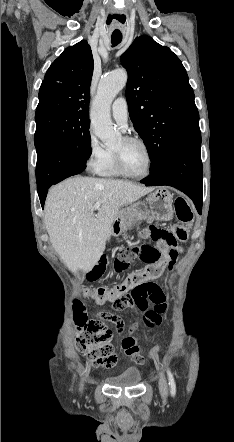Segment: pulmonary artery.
Masks as SVG:
<instances>
[{"instance_id":"1","label":"pulmonary artery","mask_w":234,"mask_h":442,"mask_svg":"<svg viewBox=\"0 0 234 442\" xmlns=\"http://www.w3.org/2000/svg\"><path fill=\"white\" fill-rule=\"evenodd\" d=\"M112 115L122 129L127 128L128 121V105L124 97L117 98L112 103Z\"/></svg>"}]
</instances>
